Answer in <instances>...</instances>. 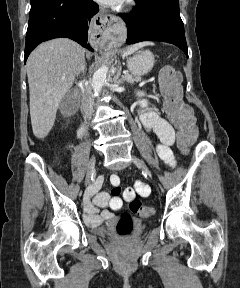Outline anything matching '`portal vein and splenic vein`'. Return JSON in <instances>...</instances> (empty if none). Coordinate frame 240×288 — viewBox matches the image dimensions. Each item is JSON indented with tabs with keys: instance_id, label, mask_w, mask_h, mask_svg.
Returning a JSON list of instances; mask_svg holds the SVG:
<instances>
[{
	"instance_id": "1",
	"label": "portal vein and splenic vein",
	"mask_w": 240,
	"mask_h": 288,
	"mask_svg": "<svg viewBox=\"0 0 240 288\" xmlns=\"http://www.w3.org/2000/svg\"><path fill=\"white\" fill-rule=\"evenodd\" d=\"M124 75H125V76L128 75V72H124Z\"/></svg>"
}]
</instances>
